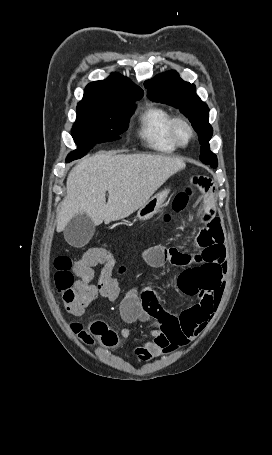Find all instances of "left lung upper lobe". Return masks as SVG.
Returning a JSON list of instances; mask_svg holds the SVG:
<instances>
[{
  "label": "left lung upper lobe",
  "mask_w": 272,
  "mask_h": 455,
  "mask_svg": "<svg viewBox=\"0 0 272 455\" xmlns=\"http://www.w3.org/2000/svg\"><path fill=\"white\" fill-rule=\"evenodd\" d=\"M144 86L148 88L147 92L151 100L174 106L189 118L201 144L200 160L216 168L217 157L209 147V140L213 134V129L208 122L209 108L197 96L195 85L183 81L175 71H169L146 81Z\"/></svg>",
  "instance_id": "1"
}]
</instances>
